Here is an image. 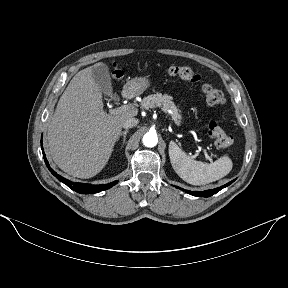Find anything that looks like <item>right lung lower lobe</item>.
Returning a JSON list of instances; mask_svg holds the SVG:
<instances>
[{
    "mask_svg": "<svg viewBox=\"0 0 288 288\" xmlns=\"http://www.w3.org/2000/svg\"><path fill=\"white\" fill-rule=\"evenodd\" d=\"M42 142V141H41ZM42 146V144H41ZM42 152H43V157L45 159V163L48 167V169L50 170V172L61 182H63L64 184H66L69 188H71L72 190L81 193V194H93V193H98L100 191L103 190H107L109 188H111L112 186H114L118 181H115L114 183H109V184H105V185H92V184H86V183H77V182H72L66 178H63L62 176L58 175L50 166L49 163L47 161L46 155L43 151V147H42Z\"/></svg>",
    "mask_w": 288,
    "mask_h": 288,
    "instance_id": "1",
    "label": "right lung lower lobe"
}]
</instances>
